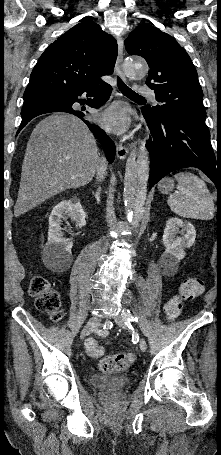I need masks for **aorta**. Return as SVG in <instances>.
I'll list each match as a JSON object with an SVG mask.
<instances>
[{
    "mask_svg": "<svg viewBox=\"0 0 221 455\" xmlns=\"http://www.w3.org/2000/svg\"><path fill=\"white\" fill-rule=\"evenodd\" d=\"M124 71L130 78H143L148 73V66L143 60L130 57L124 62ZM148 177V152L140 146L139 151H133L127 159L123 191L126 215L135 227L143 216Z\"/></svg>",
    "mask_w": 221,
    "mask_h": 455,
    "instance_id": "aorta-1",
    "label": "aorta"
}]
</instances>
